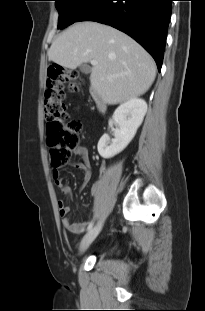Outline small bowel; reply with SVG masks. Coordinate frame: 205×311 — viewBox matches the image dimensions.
<instances>
[{
  "instance_id": "small-bowel-1",
  "label": "small bowel",
  "mask_w": 205,
  "mask_h": 311,
  "mask_svg": "<svg viewBox=\"0 0 205 311\" xmlns=\"http://www.w3.org/2000/svg\"><path fill=\"white\" fill-rule=\"evenodd\" d=\"M73 154L80 157L81 160L73 163L72 166L84 172V183H88L92 177V170L87 148L84 145H79L73 151ZM52 175L55 180V184L59 188L60 192L66 197H71L72 192L67 181L60 176L57 170H53ZM97 191L98 186L93 185L91 188V194L95 195ZM57 206L59 215L62 218V225L66 230L71 233L80 234L84 232L86 228H88L90 224L89 221L73 222L68 218L70 208L64 200H58Z\"/></svg>"
}]
</instances>
